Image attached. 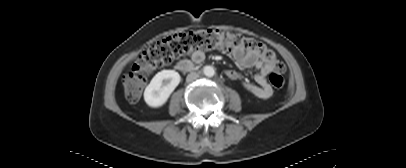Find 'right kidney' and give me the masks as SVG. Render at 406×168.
I'll use <instances>...</instances> for the list:
<instances>
[{
    "label": "right kidney",
    "mask_w": 406,
    "mask_h": 168,
    "mask_svg": "<svg viewBox=\"0 0 406 168\" xmlns=\"http://www.w3.org/2000/svg\"><path fill=\"white\" fill-rule=\"evenodd\" d=\"M181 77L174 70H162L151 80L144 91V100L150 107L158 108L166 103L180 83Z\"/></svg>",
    "instance_id": "1"
}]
</instances>
